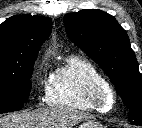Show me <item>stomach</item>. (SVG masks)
<instances>
[{"mask_svg":"<svg viewBox=\"0 0 142 128\" xmlns=\"http://www.w3.org/2000/svg\"><path fill=\"white\" fill-rule=\"evenodd\" d=\"M78 128H104V127L99 122L93 119H88L85 120L81 125H79Z\"/></svg>","mask_w":142,"mask_h":128,"instance_id":"obj_1","label":"stomach"}]
</instances>
